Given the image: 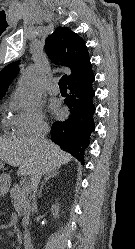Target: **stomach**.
Here are the masks:
<instances>
[{"instance_id": "stomach-1", "label": "stomach", "mask_w": 135, "mask_h": 249, "mask_svg": "<svg viewBox=\"0 0 135 249\" xmlns=\"http://www.w3.org/2000/svg\"><path fill=\"white\" fill-rule=\"evenodd\" d=\"M3 167V163L0 161V169Z\"/></svg>"}]
</instances>
